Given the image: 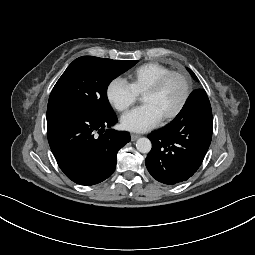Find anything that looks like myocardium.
I'll return each instance as SVG.
<instances>
[{
	"label": "myocardium",
	"mask_w": 255,
	"mask_h": 255,
	"mask_svg": "<svg viewBox=\"0 0 255 255\" xmlns=\"http://www.w3.org/2000/svg\"><path fill=\"white\" fill-rule=\"evenodd\" d=\"M173 76H178L182 79L183 83H184V94L183 97L179 103V105L170 113H168L167 115L163 116L164 120H171L173 118H175L176 116H178V114H180V112L183 110V108L185 107L190 93H191V84H190V80L188 78V76L182 72V71H170L164 75H162L157 81H155L145 92L144 95L147 93H156L158 92L163 86L164 84Z\"/></svg>",
	"instance_id": "f54148a6"
}]
</instances>
